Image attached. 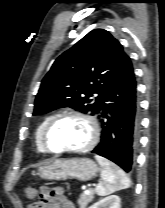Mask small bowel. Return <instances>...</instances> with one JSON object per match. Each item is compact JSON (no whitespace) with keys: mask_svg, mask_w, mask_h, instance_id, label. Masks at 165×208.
I'll list each match as a JSON object with an SVG mask.
<instances>
[{"mask_svg":"<svg viewBox=\"0 0 165 208\" xmlns=\"http://www.w3.org/2000/svg\"><path fill=\"white\" fill-rule=\"evenodd\" d=\"M39 198V201L29 204L27 208H75L61 187L43 186Z\"/></svg>","mask_w":165,"mask_h":208,"instance_id":"small-bowel-1","label":"small bowel"}]
</instances>
